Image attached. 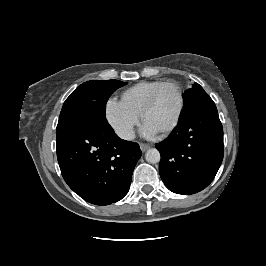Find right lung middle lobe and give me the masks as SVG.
<instances>
[{
    "mask_svg": "<svg viewBox=\"0 0 266 266\" xmlns=\"http://www.w3.org/2000/svg\"><path fill=\"white\" fill-rule=\"evenodd\" d=\"M126 84L119 80H92L78 86L63 104L56 142L91 122L106 121L107 100L116 89Z\"/></svg>",
    "mask_w": 266,
    "mask_h": 266,
    "instance_id": "dd1d6c3e",
    "label": "right lung middle lobe"
}]
</instances>
